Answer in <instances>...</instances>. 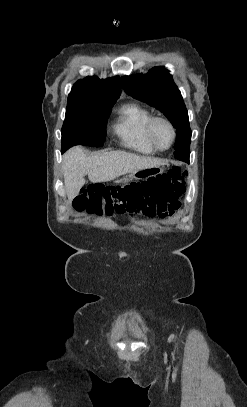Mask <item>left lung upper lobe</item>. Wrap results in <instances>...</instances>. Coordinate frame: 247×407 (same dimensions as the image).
<instances>
[{
    "label": "left lung upper lobe",
    "instance_id": "5c2ea615",
    "mask_svg": "<svg viewBox=\"0 0 247 407\" xmlns=\"http://www.w3.org/2000/svg\"><path fill=\"white\" fill-rule=\"evenodd\" d=\"M123 89L133 98L160 110L176 128L174 157L189 162L191 129L182 95L172 76L163 67H155L147 74L121 78Z\"/></svg>",
    "mask_w": 247,
    "mask_h": 407
}]
</instances>
